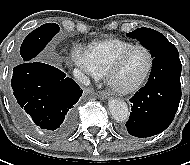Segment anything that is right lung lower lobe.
I'll list each match as a JSON object with an SVG mask.
<instances>
[{
  "label": "right lung lower lobe",
  "mask_w": 190,
  "mask_h": 165,
  "mask_svg": "<svg viewBox=\"0 0 190 165\" xmlns=\"http://www.w3.org/2000/svg\"><path fill=\"white\" fill-rule=\"evenodd\" d=\"M11 103L17 119L29 131L42 130L62 139L75 127L81 88L51 65L24 62L13 69Z\"/></svg>",
  "instance_id": "right-lung-lower-lobe-1"
}]
</instances>
